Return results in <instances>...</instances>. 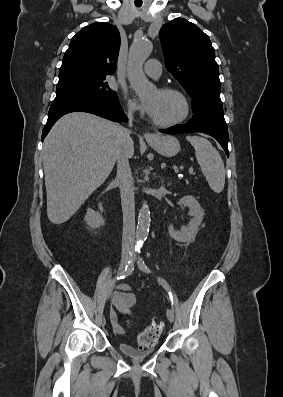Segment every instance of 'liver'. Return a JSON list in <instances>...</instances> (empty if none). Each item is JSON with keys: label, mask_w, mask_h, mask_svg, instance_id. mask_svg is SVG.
<instances>
[{"label": "liver", "mask_w": 283, "mask_h": 397, "mask_svg": "<svg viewBox=\"0 0 283 397\" xmlns=\"http://www.w3.org/2000/svg\"><path fill=\"white\" fill-rule=\"evenodd\" d=\"M120 126L96 115L63 116L44 140L43 167L47 216L53 224L68 221L108 178L123 147ZM134 154L133 140L126 144Z\"/></svg>", "instance_id": "6515ba94"}]
</instances>
